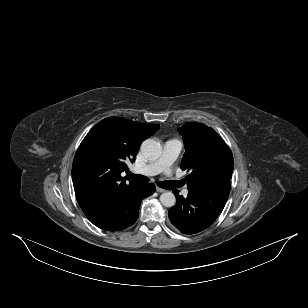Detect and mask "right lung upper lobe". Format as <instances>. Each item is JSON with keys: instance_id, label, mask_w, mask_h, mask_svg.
Segmentation results:
<instances>
[{"instance_id": "1", "label": "right lung upper lobe", "mask_w": 308, "mask_h": 308, "mask_svg": "<svg viewBox=\"0 0 308 308\" xmlns=\"http://www.w3.org/2000/svg\"><path fill=\"white\" fill-rule=\"evenodd\" d=\"M158 128L109 117L85 136L73 161L72 180L76 199L90 221L116 215L131 200L141 184L126 183L121 173L134 162L141 142Z\"/></svg>"}]
</instances>
